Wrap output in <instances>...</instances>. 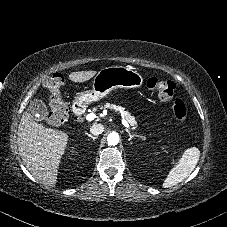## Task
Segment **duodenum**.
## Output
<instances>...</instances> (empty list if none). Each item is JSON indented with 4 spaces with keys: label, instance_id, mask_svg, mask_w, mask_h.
<instances>
[{
    "label": "duodenum",
    "instance_id": "410a0bca",
    "mask_svg": "<svg viewBox=\"0 0 227 227\" xmlns=\"http://www.w3.org/2000/svg\"><path fill=\"white\" fill-rule=\"evenodd\" d=\"M73 110H74L75 115H77V116L83 115V113L85 111L83 105H81V104H74Z\"/></svg>",
    "mask_w": 227,
    "mask_h": 227
}]
</instances>
